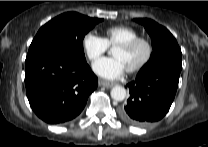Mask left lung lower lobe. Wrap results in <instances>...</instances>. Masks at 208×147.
<instances>
[{"mask_svg":"<svg viewBox=\"0 0 208 147\" xmlns=\"http://www.w3.org/2000/svg\"><path fill=\"white\" fill-rule=\"evenodd\" d=\"M181 70L162 65L138 74L130 82V97L118 113L127 123L146 126L162 119L168 112L178 87Z\"/></svg>","mask_w":208,"mask_h":147,"instance_id":"left-lung-lower-lobe-1","label":"left lung lower lobe"}]
</instances>
